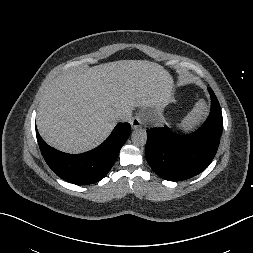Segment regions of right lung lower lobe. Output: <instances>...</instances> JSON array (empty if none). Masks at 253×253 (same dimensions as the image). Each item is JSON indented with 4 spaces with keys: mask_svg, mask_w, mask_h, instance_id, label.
<instances>
[{
    "mask_svg": "<svg viewBox=\"0 0 253 253\" xmlns=\"http://www.w3.org/2000/svg\"><path fill=\"white\" fill-rule=\"evenodd\" d=\"M130 131L129 123H120L99 147L78 155L52 148L45 143L37 130L36 136L42 156L54 173L67 182L88 185L100 181L107 175Z\"/></svg>",
    "mask_w": 253,
    "mask_h": 253,
    "instance_id": "1",
    "label": "right lung lower lobe"
}]
</instances>
